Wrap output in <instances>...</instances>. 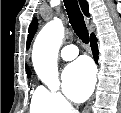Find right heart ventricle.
Returning <instances> with one entry per match:
<instances>
[{
	"mask_svg": "<svg viewBox=\"0 0 121 113\" xmlns=\"http://www.w3.org/2000/svg\"><path fill=\"white\" fill-rule=\"evenodd\" d=\"M53 108L44 95L42 88H37L31 95L29 113H53Z\"/></svg>",
	"mask_w": 121,
	"mask_h": 113,
	"instance_id": "right-heart-ventricle-1",
	"label": "right heart ventricle"
}]
</instances>
